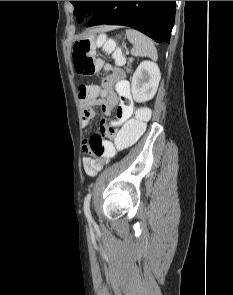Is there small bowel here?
Here are the masks:
<instances>
[{"label":"small bowel","instance_id":"1","mask_svg":"<svg viewBox=\"0 0 233 295\" xmlns=\"http://www.w3.org/2000/svg\"><path fill=\"white\" fill-rule=\"evenodd\" d=\"M81 116L84 125H89L96 115L95 108L100 106L103 113L111 115L116 110V119H102L100 131L105 133L109 128H117L129 121L134 113V103L129 82L121 71H115L107 77L99 94L87 98H80ZM84 152L87 154L82 160L85 173L96 176L107 164L108 158L103 156L93 157L88 140L84 144Z\"/></svg>","mask_w":233,"mask_h":295}]
</instances>
